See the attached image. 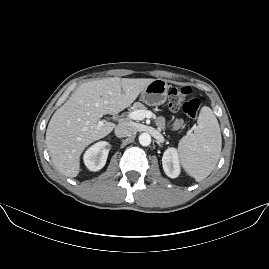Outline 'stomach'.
<instances>
[{
    "mask_svg": "<svg viewBox=\"0 0 269 269\" xmlns=\"http://www.w3.org/2000/svg\"><path fill=\"white\" fill-rule=\"evenodd\" d=\"M168 85L164 79H155L141 92L142 101L149 105H161L167 99Z\"/></svg>",
    "mask_w": 269,
    "mask_h": 269,
    "instance_id": "obj_1",
    "label": "stomach"
}]
</instances>
